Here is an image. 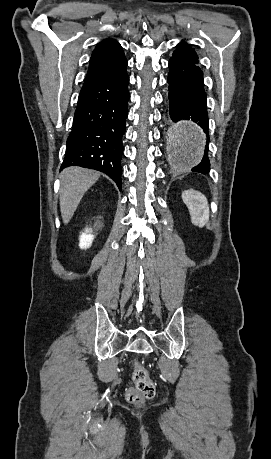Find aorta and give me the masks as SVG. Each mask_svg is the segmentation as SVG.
<instances>
[{
  "label": "aorta",
  "mask_w": 271,
  "mask_h": 459,
  "mask_svg": "<svg viewBox=\"0 0 271 459\" xmlns=\"http://www.w3.org/2000/svg\"><path fill=\"white\" fill-rule=\"evenodd\" d=\"M205 139L195 124L185 123L170 128L167 137V157L175 170H189L202 160Z\"/></svg>",
  "instance_id": "aorta-1"
}]
</instances>
